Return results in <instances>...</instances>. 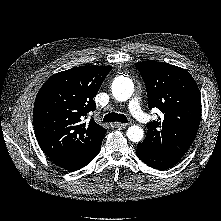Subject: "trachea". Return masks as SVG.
Wrapping results in <instances>:
<instances>
[{
    "mask_svg": "<svg viewBox=\"0 0 221 221\" xmlns=\"http://www.w3.org/2000/svg\"><path fill=\"white\" fill-rule=\"evenodd\" d=\"M103 120L105 122H121V123H127L128 119L124 114H118V113H108L104 116Z\"/></svg>",
    "mask_w": 221,
    "mask_h": 221,
    "instance_id": "1",
    "label": "trachea"
}]
</instances>
